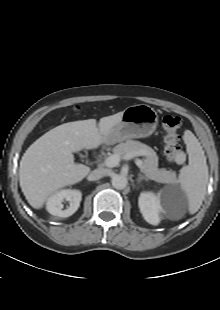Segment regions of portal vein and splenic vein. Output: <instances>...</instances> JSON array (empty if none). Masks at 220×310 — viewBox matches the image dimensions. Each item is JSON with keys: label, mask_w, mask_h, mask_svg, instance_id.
Wrapping results in <instances>:
<instances>
[{"label": "portal vein and splenic vein", "mask_w": 220, "mask_h": 310, "mask_svg": "<svg viewBox=\"0 0 220 310\" xmlns=\"http://www.w3.org/2000/svg\"><path fill=\"white\" fill-rule=\"evenodd\" d=\"M119 161H120V156L117 154H113L105 159L104 164L105 166L109 168H113L119 164ZM135 163L138 166V168L142 171L143 162L140 159H137Z\"/></svg>", "instance_id": "1"}]
</instances>
